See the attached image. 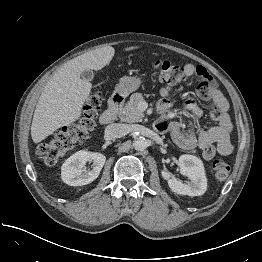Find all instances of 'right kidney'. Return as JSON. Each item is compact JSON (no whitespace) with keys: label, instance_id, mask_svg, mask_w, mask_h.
<instances>
[{"label":"right kidney","instance_id":"ca27d5eb","mask_svg":"<svg viewBox=\"0 0 262 262\" xmlns=\"http://www.w3.org/2000/svg\"><path fill=\"white\" fill-rule=\"evenodd\" d=\"M87 161L94 162V167L91 171L84 168ZM105 161L106 157L101 153L88 150L78 151L63 163L61 178L64 183L70 186L87 185L99 176Z\"/></svg>","mask_w":262,"mask_h":262}]
</instances>
